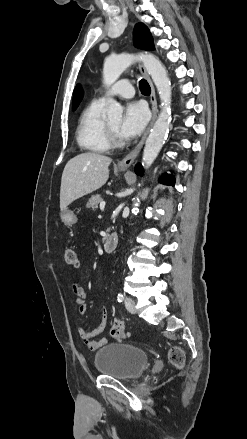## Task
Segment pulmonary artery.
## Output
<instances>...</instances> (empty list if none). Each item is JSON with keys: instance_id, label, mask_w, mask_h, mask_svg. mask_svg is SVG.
<instances>
[{"instance_id": "obj_1", "label": "pulmonary artery", "mask_w": 247, "mask_h": 439, "mask_svg": "<svg viewBox=\"0 0 247 439\" xmlns=\"http://www.w3.org/2000/svg\"><path fill=\"white\" fill-rule=\"evenodd\" d=\"M134 94V89L129 80H120L112 86L108 93L99 98L100 101L105 102L108 96H119L123 98H130Z\"/></svg>"}]
</instances>
